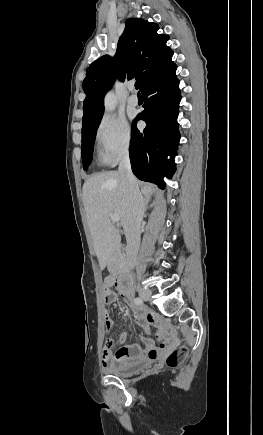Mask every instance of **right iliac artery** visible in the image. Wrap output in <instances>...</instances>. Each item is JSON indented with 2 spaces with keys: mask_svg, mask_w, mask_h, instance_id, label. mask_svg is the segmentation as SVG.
I'll list each match as a JSON object with an SVG mask.
<instances>
[{
  "mask_svg": "<svg viewBox=\"0 0 263 435\" xmlns=\"http://www.w3.org/2000/svg\"><path fill=\"white\" fill-rule=\"evenodd\" d=\"M134 303L136 304V305H142L143 304V300L141 299V298H135L134 299Z\"/></svg>",
  "mask_w": 263,
  "mask_h": 435,
  "instance_id": "obj_1",
  "label": "right iliac artery"
}]
</instances>
